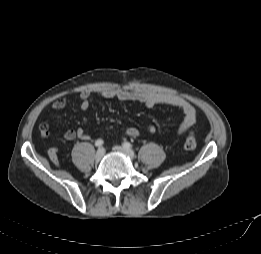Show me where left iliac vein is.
Listing matches in <instances>:
<instances>
[{
	"label": "left iliac vein",
	"instance_id": "1",
	"mask_svg": "<svg viewBox=\"0 0 261 254\" xmlns=\"http://www.w3.org/2000/svg\"><path fill=\"white\" fill-rule=\"evenodd\" d=\"M114 150L128 156L131 159L134 158V152L130 149H126L122 146H114Z\"/></svg>",
	"mask_w": 261,
	"mask_h": 254
}]
</instances>
